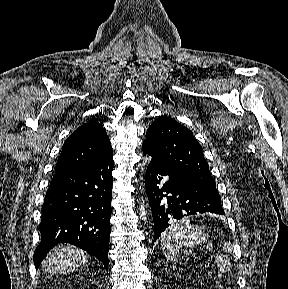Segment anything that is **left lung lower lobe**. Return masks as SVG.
<instances>
[{
	"label": "left lung lower lobe",
	"instance_id": "0a47b994",
	"mask_svg": "<svg viewBox=\"0 0 288 289\" xmlns=\"http://www.w3.org/2000/svg\"><path fill=\"white\" fill-rule=\"evenodd\" d=\"M143 152L151 155L144 146ZM164 176L169 178L161 184ZM145 186L154 221L155 240L174 220L184 216L197 212L224 214L218 191L171 172L153 157L147 167Z\"/></svg>",
	"mask_w": 288,
	"mask_h": 289
}]
</instances>
